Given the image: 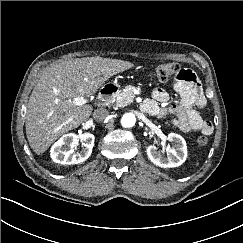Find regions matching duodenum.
<instances>
[{"label": "duodenum", "instance_id": "410a0bca", "mask_svg": "<svg viewBox=\"0 0 243 243\" xmlns=\"http://www.w3.org/2000/svg\"><path fill=\"white\" fill-rule=\"evenodd\" d=\"M118 91V86L115 84L105 85L99 93L98 100L100 104L106 103L110 100Z\"/></svg>", "mask_w": 243, "mask_h": 243}]
</instances>
